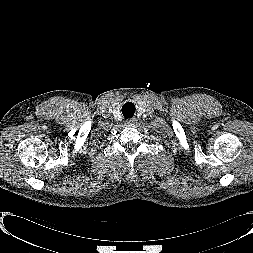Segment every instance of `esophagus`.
<instances>
[{
	"instance_id": "obj_1",
	"label": "esophagus",
	"mask_w": 253,
	"mask_h": 253,
	"mask_svg": "<svg viewBox=\"0 0 253 253\" xmlns=\"http://www.w3.org/2000/svg\"><path fill=\"white\" fill-rule=\"evenodd\" d=\"M136 123H137V118H135V117L128 120V124L130 126H135Z\"/></svg>"
}]
</instances>
